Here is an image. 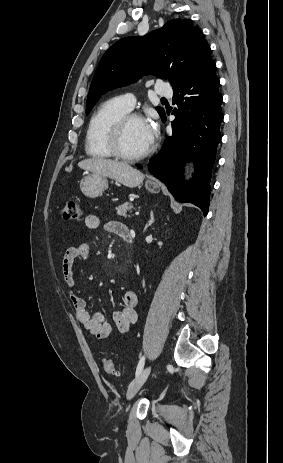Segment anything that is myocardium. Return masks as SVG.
I'll list each match as a JSON object with an SVG mask.
<instances>
[{
    "mask_svg": "<svg viewBox=\"0 0 283 463\" xmlns=\"http://www.w3.org/2000/svg\"><path fill=\"white\" fill-rule=\"evenodd\" d=\"M143 120L142 115L136 112H128L120 116L110 127L107 135V145L112 155L124 161H138L148 157L153 152V145L139 154H128L121 146V139L126 125L131 120Z\"/></svg>",
    "mask_w": 283,
    "mask_h": 463,
    "instance_id": "1",
    "label": "myocardium"
}]
</instances>
